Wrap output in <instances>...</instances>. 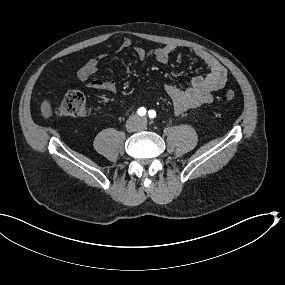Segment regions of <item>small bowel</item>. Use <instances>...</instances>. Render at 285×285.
Wrapping results in <instances>:
<instances>
[{
	"instance_id": "small-bowel-1",
	"label": "small bowel",
	"mask_w": 285,
	"mask_h": 285,
	"mask_svg": "<svg viewBox=\"0 0 285 285\" xmlns=\"http://www.w3.org/2000/svg\"><path fill=\"white\" fill-rule=\"evenodd\" d=\"M131 46V41L125 38L120 42L118 51H124ZM174 50L175 47L171 45L150 50L138 46L134 47V52L140 60L152 58L164 64L168 63ZM194 54L208 67V73L204 76L193 77L190 85L185 89L174 85L164 86V91L172 100L176 114H182L190 109L211 103L213 101V93L222 89L227 81L226 68L213 55L203 49H194ZM101 59L102 57H95L86 62L78 74L81 82H86L98 70ZM86 86L92 90L106 91L108 93L117 91L116 83L111 80L93 79L87 81Z\"/></svg>"
}]
</instances>
